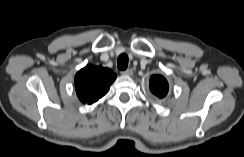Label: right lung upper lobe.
<instances>
[{
  "instance_id": "obj_1",
  "label": "right lung upper lobe",
  "mask_w": 244,
  "mask_h": 157,
  "mask_svg": "<svg viewBox=\"0 0 244 157\" xmlns=\"http://www.w3.org/2000/svg\"><path fill=\"white\" fill-rule=\"evenodd\" d=\"M116 75L108 68L87 65L77 72L74 82L78 98L92 104L104 96Z\"/></svg>"
}]
</instances>
